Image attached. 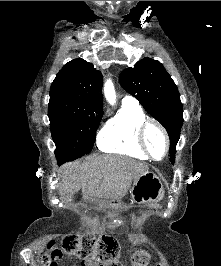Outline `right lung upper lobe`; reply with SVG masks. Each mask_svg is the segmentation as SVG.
<instances>
[{
    "label": "right lung upper lobe",
    "instance_id": "1",
    "mask_svg": "<svg viewBox=\"0 0 221 266\" xmlns=\"http://www.w3.org/2000/svg\"><path fill=\"white\" fill-rule=\"evenodd\" d=\"M103 76L94 66L79 58L66 63L54 79L50 97H64L74 101L87 113H103Z\"/></svg>",
    "mask_w": 221,
    "mask_h": 266
}]
</instances>
